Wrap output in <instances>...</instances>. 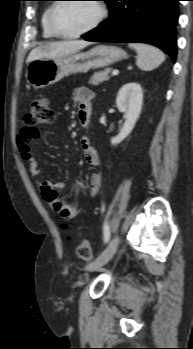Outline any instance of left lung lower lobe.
Returning a JSON list of instances; mask_svg holds the SVG:
<instances>
[{
  "instance_id": "left-lung-lower-lobe-1",
  "label": "left lung lower lobe",
  "mask_w": 193,
  "mask_h": 349,
  "mask_svg": "<svg viewBox=\"0 0 193 349\" xmlns=\"http://www.w3.org/2000/svg\"><path fill=\"white\" fill-rule=\"evenodd\" d=\"M180 0H109V19L82 37L99 42H143L176 60Z\"/></svg>"
}]
</instances>
